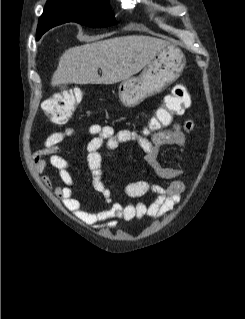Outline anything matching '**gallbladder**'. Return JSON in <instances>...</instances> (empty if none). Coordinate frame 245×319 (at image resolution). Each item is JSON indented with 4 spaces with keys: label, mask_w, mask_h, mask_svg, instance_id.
<instances>
[{
    "label": "gallbladder",
    "mask_w": 245,
    "mask_h": 319,
    "mask_svg": "<svg viewBox=\"0 0 245 319\" xmlns=\"http://www.w3.org/2000/svg\"><path fill=\"white\" fill-rule=\"evenodd\" d=\"M67 86L64 84V85H60V89H66Z\"/></svg>",
    "instance_id": "obj_1"
}]
</instances>
